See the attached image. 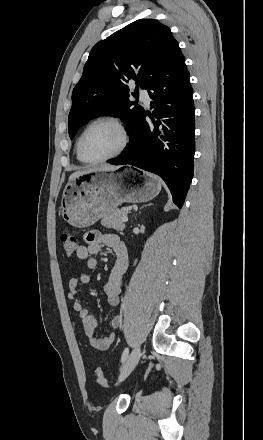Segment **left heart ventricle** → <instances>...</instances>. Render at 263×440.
Here are the masks:
<instances>
[{
  "label": "left heart ventricle",
  "mask_w": 263,
  "mask_h": 440,
  "mask_svg": "<svg viewBox=\"0 0 263 440\" xmlns=\"http://www.w3.org/2000/svg\"><path fill=\"white\" fill-rule=\"evenodd\" d=\"M121 143L120 131L111 123L93 126L83 141V153L88 159H100L112 154Z\"/></svg>",
  "instance_id": "obj_1"
}]
</instances>
